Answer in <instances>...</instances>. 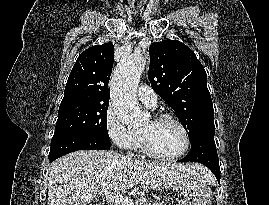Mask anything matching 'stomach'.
Segmentation results:
<instances>
[{"label":"stomach","instance_id":"1","mask_svg":"<svg viewBox=\"0 0 269 205\" xmlns=\"http://www.w3.org/2000/svg\"><path fill=\"white\" fill-rule=\"evenodd\" d=\"M179 197L177 205H210L211 195L206 184L193 176L183 178L174 186Z\"/></svg>","mask_w":269,"mask_h":205}]
</instances>
